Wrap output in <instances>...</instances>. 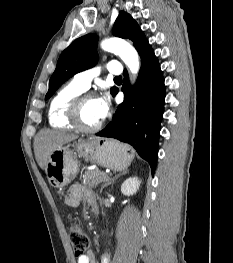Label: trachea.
Returning <instances> with one entry per match:
<instances>
[{"instance_id": "trachea-1", "label": "trachea", "mask_w": 233, "mask_h": 263, "mask_svg": "<svg viewBox=\"0 0 233 263\" xmlns=\"http://www.w3.org/2000/svg\"><path fill=\"white\" fill-rule=\"evenodd\" d=\"M114 80L115 81H122V77L121 76L115 77Z\"/></svg>"}]
</instances>
